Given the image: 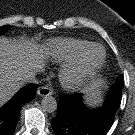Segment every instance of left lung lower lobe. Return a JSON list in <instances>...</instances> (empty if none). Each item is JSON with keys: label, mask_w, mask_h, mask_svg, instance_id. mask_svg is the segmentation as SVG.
<instances>
[{"label": "left lung lower lobe", "mask_w": 135, "mask_h": 135, "mask_svg": "<svg viewBox=\"0 0 135 135\" xmlns=\"http://www.w3.org/2000/svg\"><path fill=\"white\" fill-rule=\"evenodd\" d=\"M124 83L116 82L102 108L89 109L80 94L59 95L57 115L51 120L56 135H105L121 103Z\"/></svg>", "instance_id": "0a47b994"}]
</instances>
